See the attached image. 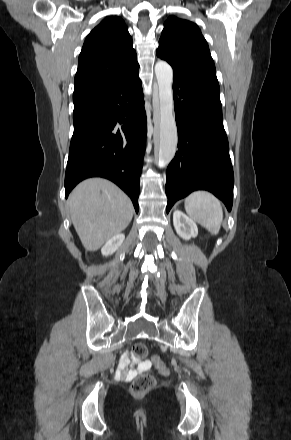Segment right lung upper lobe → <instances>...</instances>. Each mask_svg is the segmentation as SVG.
I'll return each instance as SVG.
<instances>
[{
  "label": "right lung upper lobe",
  "mask_w": 291,
  "mask_h": 440,
  "mask_svg": "<svg viewBox=\"0 0 291 440\" xmlns=\"http://www.w3.org/2000/svg\"><path fill=\"white\" fill-rule=\"evenodd\" d=\"M139 70L124 21L106 17L86 37L78 59L75 89L108 84Z\"/></svg>",
  "instance_id": "1"
}]
</instances>
